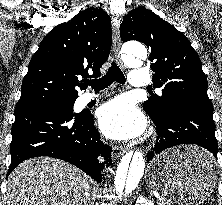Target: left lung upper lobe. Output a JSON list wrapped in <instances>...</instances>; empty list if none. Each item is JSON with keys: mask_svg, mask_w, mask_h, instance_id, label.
<instances>
[{"mask_svg": "<svg viewBox=\"0 0 222 205\" xmlns=\"http://www.w3.org/2000/svg\"><path fill=\"white\" fill-rule=\"evenodd\" d=\"M121 39L137 40L150 49V69L155 87L162 95H152L143 103L153 121H161L172 104L191 100L212 105L208 82L197 52L186 36L152 11L139 7L129 12L120 25Z\"/></svg>", "mask_w": 222, "mask_h": 205, "instance_id": "left-lung-upper-lobe-1", "label": "left lung upper lobe"}]
</instances>
